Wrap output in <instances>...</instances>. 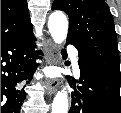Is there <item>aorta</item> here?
I'll use <instances>...</instances> for the list:
<instances>
[{
  "instance_id": "aorta-1",
  "label": "aorta",
  "mask_w": 121,
  "mask_h": 113,
  "mask_svg": "<svg viewBox=\"0 0 121 113\" xmlns=\"http://www.w3.org/2000/svg\"><path fill=\"white\" fill-rule=\"evenodd\" d=\"M48 28L55 43L60 44L66 40L68 20L62 12L55 11L49 16ZM67 111L68 95L64 90H61L53 100L51 113H67Z\"/></svg>"
}]
</instances>
